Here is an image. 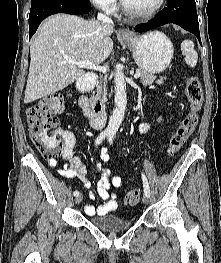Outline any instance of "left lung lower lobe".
Masks as SVG:
<instances>
[{"label":"left lung lower lobe","instance_id":"obj_1","mask_svg":"<svg viewBox=\"0 0 221 263\" xmlns=\"http://www.w3.org/2000/svg\"><path fill=\"white\" fill-rule=\"evenodd\" d=\"M167 23L195 34L201 44L195 0H168L166 8L147 23L135 26V31L144 32Z\"/></svg>","mask_w":221,"mask_h":263}]
</instances>
